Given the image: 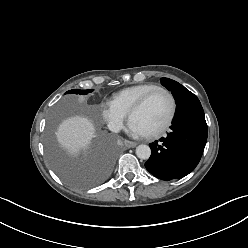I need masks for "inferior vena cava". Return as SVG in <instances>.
Wrapping results in <instances>:
<instances>
[{"instance_id": "obj_1", "label": "inferior vena cava", "mask_w": 248, "mask_h": 248, "mask_svg": "<svg viewBox=\"0 0 248 248\" xmlns=\"http://www.w3.org/2000/svg\"><path fill=\"white\" fill-rule=\"evenodd\" d=\"M108 128L110 131L118 133L121 130V125L117 123H109Z\"/></svg>"}]
</instances>
